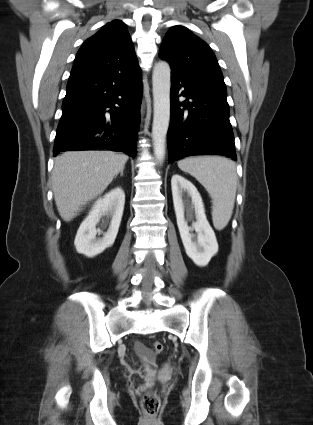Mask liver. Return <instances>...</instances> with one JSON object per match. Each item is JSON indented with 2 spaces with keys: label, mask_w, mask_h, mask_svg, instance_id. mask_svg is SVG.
<instances>
[{
  "label": "liver",
  "mask_w": 313,
  "mask_h": 425,
  "mask_svg": "<svg viewBox=\"0 0 313 425\" xmlns=\"http://www.w3.org/2000/svg\"><path fill=\"white\" fill-rule=\"evenodd\" d=\"M128 156L112 151H69L55 158L52 190L64 221L102 194L124 168Z\"/></svg>",
  "instance_id": "6515ba94"
}]
</instances>
